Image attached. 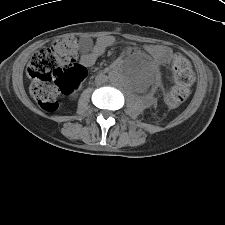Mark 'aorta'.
Returning <instances> with one entry per match:
<instances>
[{
  "mask_svg": "<svg viewBox=\"0 0 225 225\" xmlns=\"http://www.w3.org/2000/svg\"><path fill=\"white\" fill-rule=\"evenodd\" d=\"M110 80L114 82V81H116L117 79L114 78V77H111Z\"/></svg>",
  "mask_w": 225,
  "mask_h": 225,
  "instance_id": "762f6f07",
  "label": "aorta"
}]
</instances>
